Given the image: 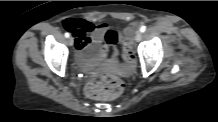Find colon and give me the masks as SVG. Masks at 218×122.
Instances as JSON below:
<instances>
[{"mask_svg":"<svg viewBox=\"0 0 218 122\" xmlns=\"http://www.w3.org/2000/svg\"><path fill=\"white\" fill-rule=\"evenodd\" d=\"M133 27L126 31V38L123 44V57L130 63H135V56L132 51ZM102 41L98 54L88 62V68L83 69L84 77H91L92 71L98 70L104 61L114 58L119 51V45L122 43V32L119 28H106L102 32ZM124 91V83L118 77L113 75H104L99 80L90 81L85 88L86 94L95 99L110 100L120 96Z\"/></svg>","mask_w":218,"mask_h":122,"instance_id":"colon-1","label":"colon"}]
</instances>
